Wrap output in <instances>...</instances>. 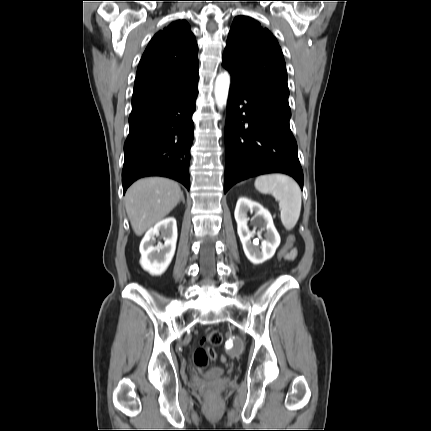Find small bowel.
Listing matches in <instances>:
<instances>
[{"label": "small bowel", "mask_w": 431, "mask_h": 431, "mask_svg": "<svg viewBox=\"0 0 431 431\" xmlns=\"http://www.w3.org/2000/svg\"><path fill=\"white\" fill-rule=\"evenodd\" d=\"M297 255V250L295 248H288L287 253L283 255V260L285 262H290L293 260Z\"/></svg>", "instance_id": "1"}]
</instances>
